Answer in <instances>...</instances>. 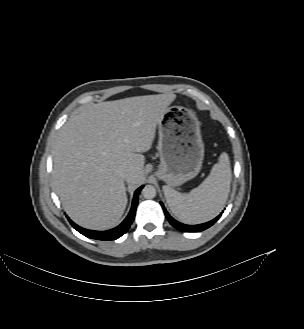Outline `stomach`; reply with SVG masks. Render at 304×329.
<instances>
[{"instance_id": "1", "label": "stomach", "mask_w": 304, "mask_h": 329, "mask_svg": "<svg viewBox=\"0 0 304 329\" xmlns=\"http://www.w3.org/2000/svg\"><path fill=\"white\" fill-rule=\"evenodd\" d=\"M160 165L156 175L172 187L198 175L204 159L200 122L182 106L167 108L158 123Z\"/></svg>"}]
</instances>
